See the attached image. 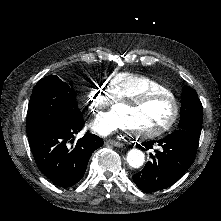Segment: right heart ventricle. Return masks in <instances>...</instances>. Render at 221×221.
Listing matches in <instances>:
<instances>
[{
  "mask_svg": "<svg viewBox=\"0 0 221 221\" xmlns=\"http://www.w3.org/2000/svg\"><path fill=\"white\" fill-rule=\"evenodd\" d=\"M151 91L152 93H166L167 87L150 77L146 76H137L132 78L121 90V97L124 100L125 98H131L133 95H138L139 93Z\"/></svg>",
  "mask_w": 221,
  "mask_h": 221,
  "instance_id": "e07e8e85",
  "label": "right heart ventricle"
}]
</instances>
